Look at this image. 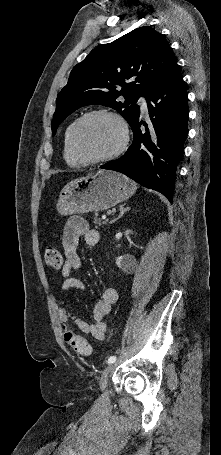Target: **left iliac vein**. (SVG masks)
Listing matches in <instances>:
<instances>
[{
	"mask_svg": "<svg viewBox=\"0 0 221 455\" xmlns=\"http://www.w3.org/2000/svg\"><path fill=\"white\" fill-rule=\"evenodd\" d=\"M113 368H114V364L111 363V364L107 365L105 367V369L103 370V372L101 374V377H100V380H99L100 389L104 390L106 388L109 374H110V372L112 371Z\"/></svg>",
	"mask_w": 221,
	"mask_h": 455,
	"instance_id": "4c4485c4",
	"label": "left iliac vein"
}]
</instances>
